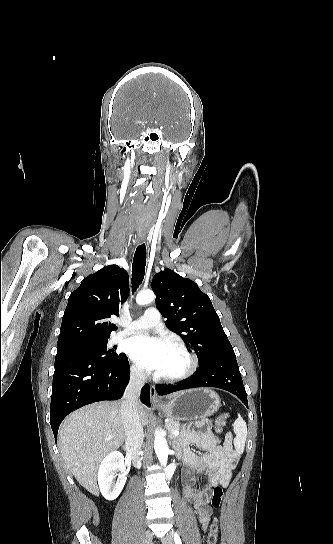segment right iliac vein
Wrapping results in <instances>:
<instances>
[{
    "label": "right iliac vein",
    "instance_id": "right-iliac-vein-1",
    "mask_svg": "<svg viewBox=\"0 0 333 544\" xmlns=\"http://www.w3.org/2000/svg\"><path fill=\"white\" fill-rule=\"evenodd\" d=\"M151 541H152V533L151 531L147 530L143 534L142 544H151Z\"/></svg>",
    "mask_w": 333,
    "mask_h": 544
}]
</instances>
